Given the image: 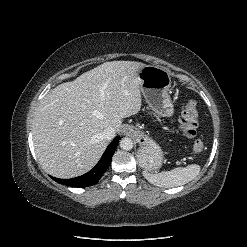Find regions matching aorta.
<instances>
[{
	"label": "aorta",
	"mask_w": 247,
	"mask_h": 247,
	"mask_svg": "<svg viewBox=\"0 0 247 247\" xmlns=\"http://www.w3.org/2000/svg\"><path fill=\"white\" fill-rule=\"evenodd\" d=\"M120 148L129 151L133 148V140L128 137H124L120 140Z\"/></svg>",
	"instance_id": "762f6f07"
}]
</instances>
